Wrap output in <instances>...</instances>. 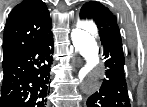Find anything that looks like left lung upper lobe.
I'll return each instance as SVG.
<instances>
[{
  "instance_id": "5c2ea615",
  "label": "left lung upper lobe",
  "mask_w": 147,
  "mask_h": 107,
  "mask_svg": "<svg viewBox=\"0 0 147 107\" xmlns=\"http://www.w3.org/2000/svg\"><path fill=\"white\" fill-rule=\"evenodd\" d=\"M80 18L95 21L100 39L119 34V27L112 12L98 1L86 2L80 10Z\"/></svg>"
}]
</instances>
